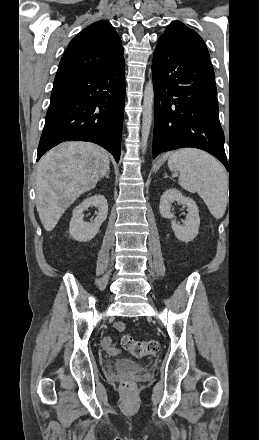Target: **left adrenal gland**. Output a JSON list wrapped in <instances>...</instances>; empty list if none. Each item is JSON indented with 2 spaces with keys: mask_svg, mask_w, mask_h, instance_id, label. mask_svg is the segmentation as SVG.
<instances>
[{
  "mask_svg": "<svg viewBox=\"0 0 259 440\" xmlns=\"http://www.w3.org/2000/svg\"><path fill=\"white\" fill-rule=\"evenodd\" d=\"M169 176L167 175V173L165 172V175H164V178H168ZM170 179H172L171 177H170Z\"/></svg>",
  "mask_w": 259,
  "mask_h": 440,
  "instance_id": "obj_1",
  "label": "left adrenal gland"
}]
</instances>
